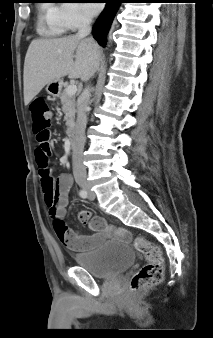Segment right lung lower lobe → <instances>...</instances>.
Returning <instances> with one entry per match:
<instances>
[{
    "mask_svg": "<svg viewBox=\"0 0 213 338\" xmlns=\"http://www.w3.org/2000/svg\"><path fill=\"white\" fill-rule=\"evenodd\" d=\"M121 2L122 0H107L108 13L106 18L102 21V17H99L93 26L94 38L101 46L106 44V35Z\"/></svg>",
    "mask_w": 213,
    "mask_h": 338,
    "instance_id": "obj_1",
    "label": "right lung lower lobe"
}]
</instances>
